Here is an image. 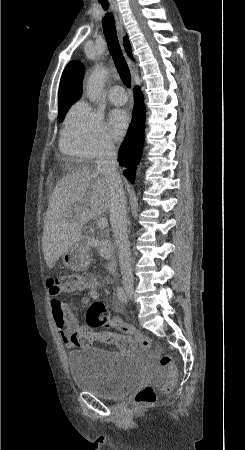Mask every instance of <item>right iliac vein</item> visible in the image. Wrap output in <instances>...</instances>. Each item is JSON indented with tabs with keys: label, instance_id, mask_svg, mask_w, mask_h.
<instances>
[{
	"label": "right iliac vein",
	"instance_id": "63e3f726",
	"mask_svg": "<svg viewBox=\"0 0 245 450\" xmlns=\"http://www.w3.org/2000/svg\"><path fill=\"white\" fill-rule=\"evenodd\" d=\"M124 290H125L126 295L130 299H132L133 298V286L126 284V285H124Z\"/></svg>",
	"mask_w": 245,
	"mask_h": 450
}]
</instances>
